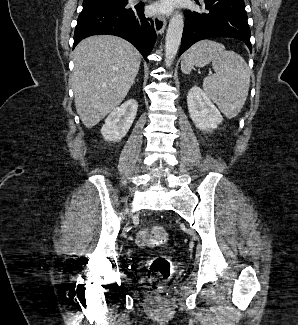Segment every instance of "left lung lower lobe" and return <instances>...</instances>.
<instances>
[{"label":"left lung lower lobe","instance_id":"0a47b994","mask_svg":"<svg viewBox=\"0 0 298 325\" xmlns=\"http://www.w3.org/2000/svg\"><path fill=\"white\" fill-rule=\"evenodd\" d=\"M199 4L198 0H195ZM205 13L185 11L179 56L194 43L213 37L242 40L252 51L243 0H205Z\"/></svg>","mask_w":298,"mask_h":325}]
</instances>
